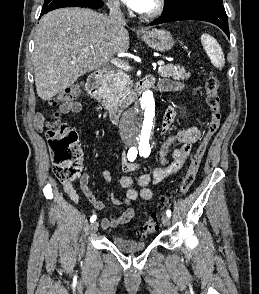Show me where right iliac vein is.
Here are the masks:
<instances>
[{
    "instance_id": "63e3f726",
    "label": "right iliac vein",
    "mask_w": 259,
    "mask_h": 294,
    "mask_svg": "<svg viewBox=\"0 0 259 294\" xmlns=\"http://www.w3.org/2000/svg\"><path fill=\"white\" fill-rule=\"evenodd\" d=\"M98 227H99V223L95 221L90 225V231L92 233H95L98 230Z\"/></svg>"
}]
</instances>
